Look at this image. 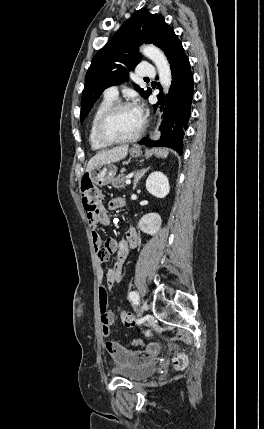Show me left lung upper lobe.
I'll return each mask as SVG.
<instances>
[{
  "mask_svg": "<svg viewBox=\"0 0 264 429\" xmlns=\"http://www.w3.org/2000/svg\"><path fill=\"white\" fill-rule=\"evenodd\" d=\"M170 30L172 28L166 24L161 14H151L146 8L138 10L125 21L92 59L82 94L81 122L104 89L121 84L128 78V72L142 59L138 52L139 45L153 43L161 48ZM134 88L145 98L151 93V89L143 90L138 85Z\"/></svg>",
  "mask_w": 264,
  "mask_h": 429,
  "instance_id": "left-lung-upper-lobe-1",
  "label": "left lung upper lobe"
}]
</instances>
